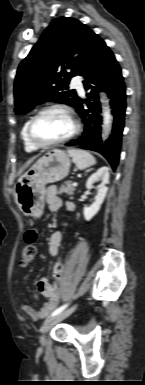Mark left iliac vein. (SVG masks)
<instances>
[{"instance_id":"left-iliac-vein-1","label":"left iliac vein","mask_w":145,"mask_h":385,"mask_svg":"<svg viewBox=\"0 0 145 385\" xmlns=\"http://www.w3.org/2000/svg\"><path fill=\"white\" fill-rule=\"evenodd\" d=\"M77 307V304L73 305L72 307L68 308L67 310L52 316L48 320L45 321L42 327V336L40 338V342L42 345L46 344V334L50 331V329L55 326L57 323L60 321L64 320L67 318L69 315H71Z\"/></svg>"}]
</instances>
